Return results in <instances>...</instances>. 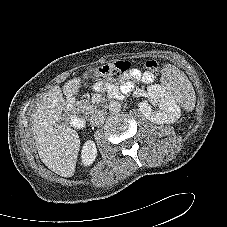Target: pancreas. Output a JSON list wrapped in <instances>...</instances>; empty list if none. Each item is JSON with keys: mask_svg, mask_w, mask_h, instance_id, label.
<instances>
[{"mask_svg": "<svg viewBox=\"0 0 227 227\" xmlns=\"http://www.w3.org/2000/svg\"><path fill=\"white\" fill-rule=\"evenodd\" d=\"M76 106L84 113H92L97 108V104L92 103L89 100L79 101Z\"/></svg>", "mask_w": 227, "mask_h": 227, "instance_id": "obj_1", "label": "pancreas"}]
</instances>
